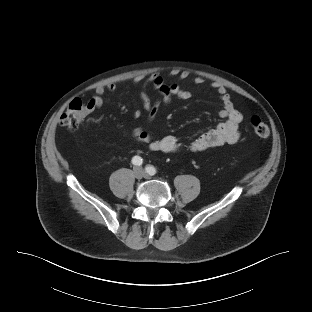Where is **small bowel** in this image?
Returning a JSON list of instances; mask_svg holds the SVG:
<instances>
[{"label": "small bowel", "instance_id": "small-bowel-1", "mask_svg": "<svg viewBox=\"0 0 312 312\" xmlns=\"http://www.w3.org/2000/svg\"><path fill=\"white\" fill-rule=\"evenodd\" d=\"M189 76V72L183 71L179 73L180 79H186ZM143 77L139 76L135 79V82L143 81ZM194 83L200 84L203 79L197 77L193 79ZM151 85L156 89L161 95V101L157 100L152 102L149 98L146 88ZM211 88L217 93L222 108L219 111L221 118L225 120L219 123L215 128L205 132L199 137L195 138L187 146L183 147L179 140L174 136H165L161 138H155L150 130V125L153 122L157 110L159 108L160 102L167 104L171 97H177L182 100H188L192 97V93L183 88L177 83H167L160 76H153L145 79L143 81V87L140 93V98L146 114L147 126L137 127L132 131V136L140 143H146L148 148L154 152H165L174 153L181 150H186L190 152L202 151L204 149L220 146L224 144H234L240 139L239 126L242 121L241 113L236 110L233 106L232 99L227 93V90L221 84H212ZM116 90V85L114 83H109L106 86H99L96 88L95 94L90 98L88 102L89 111H93L102 107L103 105V95L106 91L114 92ZM134 115L139 117L142 112L139 109L134 110Z\"/></svg>", "mask_w": 312, "mask_h": 312}]
</instances>
